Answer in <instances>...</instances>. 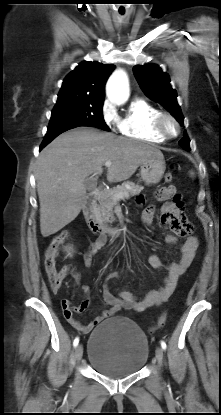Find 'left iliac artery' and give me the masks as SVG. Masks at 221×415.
I'll use <instances>...</instances> for the list:
<instances>
[{"instance_id": "1", "label": "left iliac artery", "mask_w": 221, "mask_h": 415, "mask_svg": "<svg viewBox=\"0 0 221 415\" xmlns=\"http://www.w3.org/2000/svg\"><path fill=\"white\" fill-rule=\"evenodd\" d=\"M161 347L164 350L166 349L167 345H166V343L164 341H161Z\"/></svg>"}]
</instances>
